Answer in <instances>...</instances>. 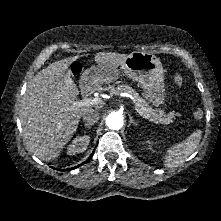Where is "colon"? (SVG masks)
<instances>
[{
    "label": "colon",
    "instance_id": "1",
    "mask_svg": "<svg viewBox=\"0 0 221 221\" xmlns=\"http://www.w3.org/2000/svg\"><path fill=\"white\" fill-rule=\"evenodd\" d=\"M78 72V71H77ZM174 82L177 84V85H182L183 83V78L181 75H175L174 76ZM203 111L201 109H196L194 112H193V117L197 120L201 119L203 117Z\"/></svg>",
    "mask_w": 221,
    "mask_h": 221
}]
</instances>
